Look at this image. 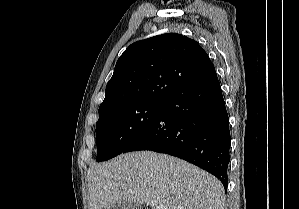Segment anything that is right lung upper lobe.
I'll return each mask as SVG.
<instances>
[{
	"label": "right lung upper lobe",
	"mask_w": 299,
	"mask_h": 209,
	"mask_svg": "<svg viewBox=\"0 0 299 209\" xmlns=\"http://www.w3.org/2000/svg\"><path fill=\"white\" fill-rule=\"evenodd\" d=\"M215 69L195 41L168 33L131 44L118 59L99 113L136 102H165L186 80Z\"/></svg>",
	"instance_id": "obj_1"
}]
</instances>
